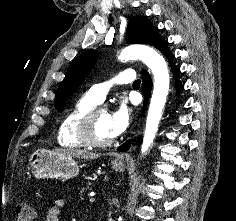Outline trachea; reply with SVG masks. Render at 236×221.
<instances>
[{"label": "trachea", "mask_w": 236, "mask_h": 221, "mask_svg": "<svg viewBox=\"0 0 236 221\" xmlns=\"http://www.w3.org/2000/svg\"><path fill=\"white\" fill-rule=\"evenodd\" d=\"M133 85H140V80L138 79V80H135L134 82H133Z\"/></svg>", "instance_id": "trachea-1"}]
</instances>
